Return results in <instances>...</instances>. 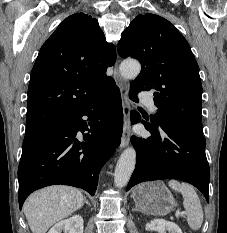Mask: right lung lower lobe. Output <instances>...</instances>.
Returning <instances> with one entry per match:
<instances>
[{
  "label": "right lung lower lobe",
  "mask_w": 227,
  "mask_h": 233,
  "mask_svg": "<svg viewBox=\"0 0 227 233\" xmlns=\"http://www.w3.org/2000/svg\"><path fill=\"white\" fill-rule=\"evenodd\" d=\"M122 122L120 90L113 80L83 109L26 134L18 168L20 209L29 194L49 185H70L94 195L100 169L120 144ZM79 131L88 133L81 138Z\"/></svg>",
  "instance_id": "1"
}]
</instances>
